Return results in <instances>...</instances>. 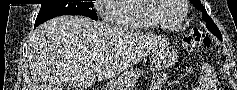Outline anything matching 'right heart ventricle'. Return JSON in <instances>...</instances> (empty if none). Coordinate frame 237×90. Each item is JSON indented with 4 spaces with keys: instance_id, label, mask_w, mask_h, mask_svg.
I'll use <instances>...</instances> for the list:
<instances>
[{
    "instance_id": "e07e8e85",
    "label": "right heart ventricle",
    "mask_w": 237,
    "mask_h": 90,
    "mask_svg": "<svg viewBox=\"0 0 237 90\" xmlns=\"http://www.w3.org/2000/svg\"><path fill=\"white\" fill-rule=\"evenodd\" d=\"M141 2L146 0H119L116 4L108 7V24H114V28H142L154 29L151 20H146V15L141 11Z\"/></svg>"
}]
</instances>
